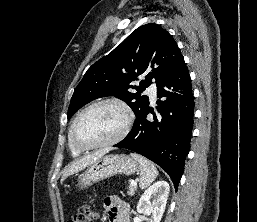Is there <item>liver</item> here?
Returning <instances> with one entry per match:
<instances>
[{"label": "liver", "instance_id": "1", "mask_svg": "<svg viewBox=\"0 0 257 222\" xmlns=\"http://www.w3.org/2000/svg\"><path fill=\"white\" fill-rule=\"evenodd\" d=\"M111 149H101L98 150L90 155H87L81 159H78L74 162H72L68 167L64 170L63 176L61 181H64L68 176L77 173L86 167L92 165L94 162H96L98 159L103 157L106 153H108Z\"/></svg>", "mask_w": 257, "mask_h": 222}]
</instances>
